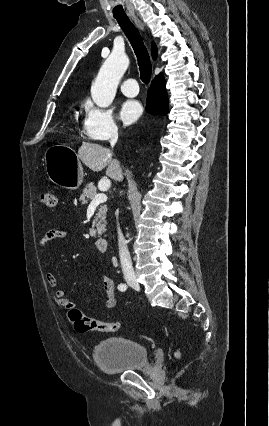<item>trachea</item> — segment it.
Returning a JSON list of instances; mask_svg holds the SVG:
<instances>
[{"instance_id":"trachea-1","label":"trachea","mask_w":269,"mask_h":426,"mask_svg":"<svg viewBox=\"0 0 269 426\" xmlns=\"http://www.w3.org/2000/svg\"><path fill=\"white\" fill-rule=\"evenodd\" d=\"M116 20L134 49L139 65L141 80L146 84L149 83L152 74V65L149 53L138 29L128 17H120L116 18Z\"/></svg>"}]
</instances>
